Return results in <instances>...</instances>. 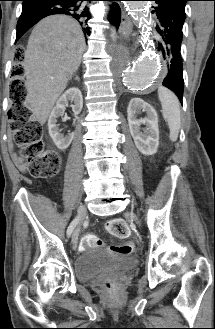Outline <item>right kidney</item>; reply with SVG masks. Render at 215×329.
I'll return each mask as SVG.
<instances>
[{
  "label": "right kidney",
  "mask_w": 215,
  "mask_h": 329,
  "mask_svg": "<svg viewBox=\"0 0 215 329\" xmlns=\"http://www.w3.org/2000/svg\"><path fill=\"white\" fill-rule=\"evenodd\" d=\"M69 101L73 102L71 107L74 115H78L83 107V97L80 89L72 87L65 91L57 100L56 106L53 108L48 119L49 135L60 150L67 149L74 138L73 133H68L66 136L60 133L57 125V118L64 115L65 108L68 106Z\"/></svg>",
  "instance_id": "ca27d5eb"
}]
</instances>
